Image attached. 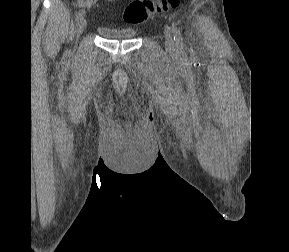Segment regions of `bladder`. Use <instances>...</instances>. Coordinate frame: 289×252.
Segmentation results:
<instances>
[{
  "mask_svg": "<svg viewBox=\"0 0 289 252\" xmlns=\"http://www.w3.org/2000/svg\"><path fill=\"white\" fill-rule=\"evenodd\" d=\"M98 34L110 40H129L136 36V31L131 28H111L106 26H99L97 28Z\"/></svg>",
  "mask_w": 289,
  "mask_h": 252,
  "instance_id": "bladder-1",
  "label": "bladder"
}]
</instances>
